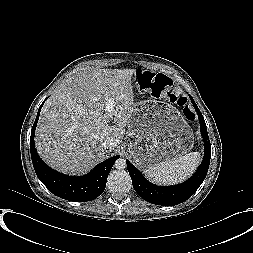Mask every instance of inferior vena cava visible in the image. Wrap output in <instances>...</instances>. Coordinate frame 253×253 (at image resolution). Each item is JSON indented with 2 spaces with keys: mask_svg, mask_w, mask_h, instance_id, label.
Instances as JSON below:
<instances>
[{
  "mask_svg": "<svg viewBox=\"0 0 253 253\" xmlns=\"http://www.w3.org/2000/svg\"><path fill=\"white\" fill-rule=\"evenodd\" d=\"M111 144H112V143H110V142H104V143L102 144V147L106 150V149H108V148L110 147Z\"/></svg>",
  "mask_w": 253,
  "mask_h": 253,
  "instance_id": "602c4592",
  "label": "inferior vena cava"
}]
</instances>
